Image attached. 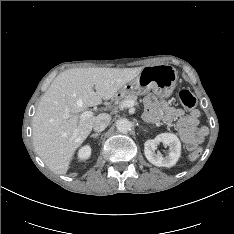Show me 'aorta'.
I'll return each instance as SVG.
<instances>
[{"label":"aorta","instance_id":"aorta-1","mask_svg":"<svg viewBox=\"0 0 234 234\" xmlns=\"http://www.w3.org/2000/svg\"><path fill=\"white\" fill-rule=\"evenodd\" d=\"M117 130L121 133H127L131 129V122L126 119H120L116 122Z\"/></svg>","mask_w":234,"mask_h":234}]
</instances>
